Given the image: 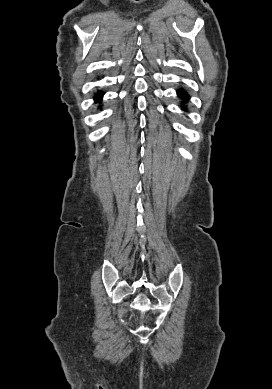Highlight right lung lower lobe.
Here are the masks:
<instances>
[{
	"label": "right lung lower lobe",
	"instance_id": "98d812e1",
	"mask_svg": "<svg viewBox=\"0 0 272 389\" xmlns=\"http://www.w3.org/2000/svg\"><path fill=\"white\" fill-rule=\"evenodd\" d=\"M103 95H104V93L102 91H98L97 95L94 97L95 102L96 103H98V102L101 103Z\"/></svg>",
	"mask_w": 272,
	"mask_h": 389
}]
</instances>
